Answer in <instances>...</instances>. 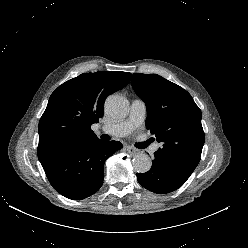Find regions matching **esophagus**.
Wrapping results in <instances>:
<instances>
[{
	"instance_id": "34e87169",
	"label": "esophagus",
	"mask_w": 248,
	"mask_h": 248,
	"mask_svg": "<svg viewBox=\"0 0 248 248\" xmlns=\"http://www.w3.org/2000/svg\"><path fill=\"white\" fill-rule=\"evenodd\" d=\"M127 151L130 155H136L138 153V150L133 147H128Z\"/></svg>"
}]
</instances>
